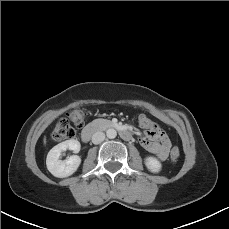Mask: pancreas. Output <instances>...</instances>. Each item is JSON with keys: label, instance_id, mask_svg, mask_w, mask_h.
Listing matches in <instances>:
<instances>
[{"label": "pancreas", "instance_id": "obj_1", "mask_svg": "<svg viewBox=\"0 0 229 229\" xmlns=\"http://www.w3.org/2000/svg\"><path fill=\"white\" fill-rule=\"evenodd\" d=\"M93 123L100 128H104L109 126L111 124V121L107 119H96L93 121Z\"/></svg>", "mask_w": 229, "mask_h": 229}]
</instances>
